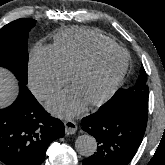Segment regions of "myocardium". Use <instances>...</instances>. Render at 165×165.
<instances>
[{"mask_svg": "<svg viewBox=\"0 0 165 165\" xmlns=\"http://www.w3.org/2000/svg\"><path fill=\"white\" fill-rule=\"evenodd\" d=\"M107 52H120L124 56V63L119 71V73L116 75V77L111 81V83L108 85L106 90L96 99L88 101L87 104L89 106H99L104 104L106 101H108L114 93L117 91V89L122 84L126 73L128 71L129 67V56L128 53L120 46L111 45V46H102L97 47L93 49L84 59H82L71 71L70 73V81L71 84L74 85L77 77L86 69H88L95 60L102 54Z\"/></svg>", "mask_w": 165, "mask_h": 165, "instance_id": "f54148a6", "label": "myocardium"}]
</instances>
